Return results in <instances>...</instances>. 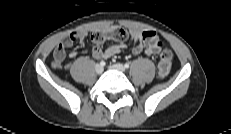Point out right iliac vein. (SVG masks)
<instances>
[{
  "mask_svg": "<svg viewBox=\"0 0 231 134\" xmlns=\"http://www.w3.org/2000/svg\"><path fill=\"white\" fill-rule=\"evenodd\" d=\"M95 72L101 74L103 72V67L100 64L95 65Z\"/></svg>",
  "mask_w": 231,
  "mask_h": 134,
  "instance_id": "right-iliac-vein-1",
  "label": "right iliac vein"
}]
</instances>
